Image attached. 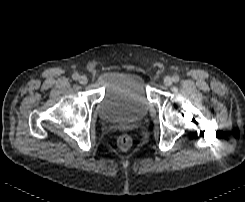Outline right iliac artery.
Instances as JSON below:
<instances>
[{"instance_id":"obj_1","label":"right iliac artery","mask_w":245,"mask_h":202,"mask_svg":"<svg viewBox=\"0 0 245 202\" xmlns=\"http://www.w3.org/2000/svg\"><path fill=\"white\" fill-rule=\"evenodd\" d=\"M79 74L78 73H74L73 75H72V78L74 79V80H78L79 79Z\"/></svg>"}]
</instances>
